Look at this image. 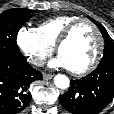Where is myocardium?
<instances>
[{
	"instance_id": "1",
	"label": "myocardium",
	"mask_w": 114,
	"mask_h": 114,
	"mask_svg": "<svg viewBox=\"0 0 114 114\" xmlns=\"http://www.w3.org/2000/svg\"><path fill=\"white\" fill-rule=\"evenodd\" d=\"M81 23H88L94 29V31L97 35V38H98V47H97L94 58L87 66H85L81 69H70L69 68L71 73L76 76L86 75V74L92 72L94 69H96V67L100 63V60L103 55L104 47H105L104 37H103L99 27L96 25V23L88 18H79V19L73 21L72 23H70L59 36V38L55 44L57 53L59 54L61 46L71 37L75 28L78 25H80Z\"/></svg>"
}]
</instances>
